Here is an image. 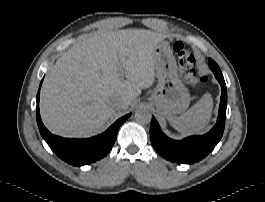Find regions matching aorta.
Masks as SVG:
<instances>
[{
    "label": "aorta",
    "instance_id": "aorta-1",
    "mask_svg": "<svg viewBox=\"0 0 265 202\" xmlns=\"http://www.w3.org/2000/svg\"><path fill=\"white\" fill-rule=\"evenodd\" d=\"M135 120L141 124H148L151 122L152 115L146 107H139L135 111Z\"/></svg>",
    "mask_w": 265,
    "mask_h": 202
}]
</instances>
